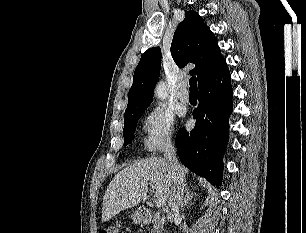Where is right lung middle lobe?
<instances>
[{
  "mask_svg": "<svg viewBox=\"0 0 306 233\" xmlns=\"http://www.w3.org/2000/svg\"><path fill=\"white\" fill-rule=\"evenodd\" d=\"M146 108L124 117V146L132 143L137 122Z\"/></svg>",
  "mask_w": 306,
  "mask_h": 233,
  "instance_id": "right-lung-middle-lobe-1",
  "label": "right lung middle lobe"
}]
</instances>
